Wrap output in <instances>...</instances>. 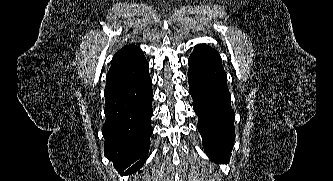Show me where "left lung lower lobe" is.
I'll return each mask as SVG.
<instances>
[{
	"label": "left lung lower lobe",
	"mask_w": 333,
	"mask_h": 181,
	"mask_svg": "<svg viewBox=\"0 0 333 181\" xmlns=\"http://www.w3.org/2000/svg\"><path fill=\"white\" fill-rule=\"evenodd\" d=\"M188 64L189 88L204 150L215 163H228L235 140V113L221 57L197 46Z\"/></svg>",
	"instance_id": "left-lung-lower-lobe-1"
}]
</instances>
